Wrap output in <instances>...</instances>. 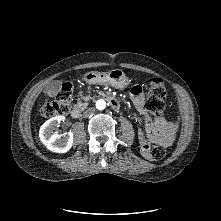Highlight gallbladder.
I'll list each match as a JSON object with an SVG mask.
<instances>
[{"label":"gallbladder","instance_id":"bac80fb5","mask_svg":"<svg viewBox=\"0 0 221 221\" xmlns=\"http://www.w3.org/2000/svg\"><path fill=\"white\" fill-rule=\"evenodd\" d=\"M61 87H62V81H55L50 85V88L55 91L60 90Z\"/></svg>","mask_w":221,"mask_h":221}]
</instances>
